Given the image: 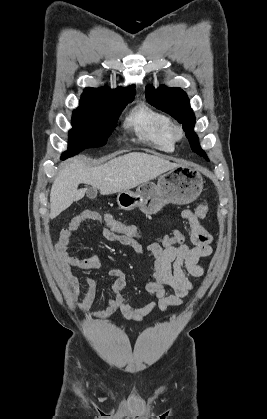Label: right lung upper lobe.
I'll list each match as a JSON object with an SVG mask.
<instances>
[{"instance_id": "1", "label": "right lung upper lobe", "mask_w": 267, "mask_h": 419, "mask_svg": "<svg viewBox=\"0 0 267 419\" xmlns=\"http://www.w3.org/2000/svg\"><path fill=\"white\" fill-rule=\"evenodd\" d=\"M134 87L135 86L128 88L117 87L116 89H110L109 87H88L84 90L81 96L80 104H88L100 100L135 95L136 91Z\"/></svg>"}]
</instances>
